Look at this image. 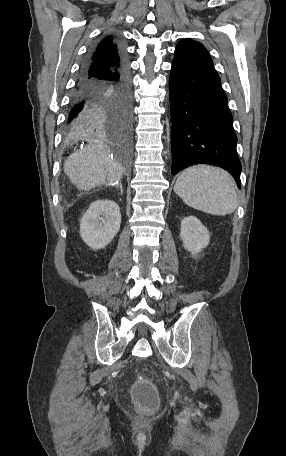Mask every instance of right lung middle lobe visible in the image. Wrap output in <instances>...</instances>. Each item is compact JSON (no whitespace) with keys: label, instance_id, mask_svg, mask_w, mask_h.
I'll use <instances>...</instances> for the list:
<instances>
[{"label":"right lung middle lobe","instance_id":"right-lung-middle-lobe-1","mask_svg":"<svg viewBox=\"0 0 286 456\" xmlns=\"http://www.w3.org/2000/svg\"><path fill=\"white\" fill-rule=\"evenodd\" d=\"M103 129H105V128H103ZM124 129H125V127H124V126H121V127L119 128V132H120V133H123ZM121 139H122L126 144H128V143L130 142V140H131V133H130V136H129L128 139H123V138H121Z\"/></svg>","mask_w":286,"mask_h":456}]
</instances>
